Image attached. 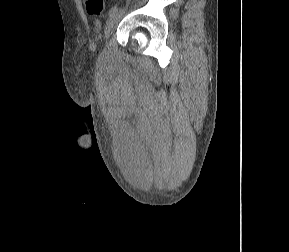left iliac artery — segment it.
Listing matches in <instances>:
<instances>
[{"mask_svg": "<svg viewBox=\"0 0 289 252\" xmlns=\"http://www.w3.org/2000/svg\"><path fill=\"white\" fill-rule=\"evenodd\" d=\"M118 10H119V8L117 5L111 7V9L109 10V15H112V14L118 12Z\"/></svg>", "mask_w": 289, "mask_h": 252, "instance_id": "obj_1", "label": "left iliac artery"}]
</instances>
